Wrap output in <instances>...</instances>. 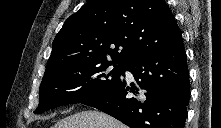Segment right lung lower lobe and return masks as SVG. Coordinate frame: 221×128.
I'll return each mask as SVG.
<instances>
[{"label":"right lung lower lobe","mask_w":221,"mask_h":128,"mask_svg":"<svg viewBox=\"0 0 221 128\" xmlns=\"http://www.w3.org/2000/svg\"><path fill=\"white\" fill-rule=\"evenodd\" d=\"M126 70L137 84L120 83L82 104L97 108L130 128H184L190 80L183 41L132 59ZM131 92L135 96L127 98Z\"/></svg>","instance_id":"obj_1"}]
</instances>
